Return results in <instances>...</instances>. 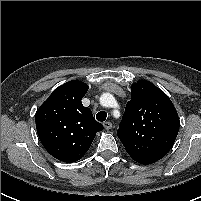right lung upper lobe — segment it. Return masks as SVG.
Wrapping results in <instances>:
<instances>
[{
    "label": "right lung upper lobe",
    "mask_w": 201,
    "mask_h": 201,
    "mask_svg": "<svg viewBox=\"0 0 201 201\" xmlns=\"http://www.w3.org/2000/svg\"><path fill=\"white\" fill-rule=\"evenodd\" d=\"M88 86L78 80L55 89L35 115L36 129L45 149L56 159L75 162L90 148L103 130L91 110L82 105Z\"/></svg>",
    "instance_id": "right-lung-upper-lobe-1"
}]
</instances>
